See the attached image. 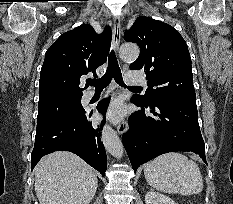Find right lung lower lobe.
I'll list each match as a JSON object with an SVG mask.
<instances>
[{
	"instance_id": "right-lung-lower-lobe-1",
	"label": "right lung lower lobe",
	"mask_w": 233,
	"mask_h": 204,
	"mask_svg": "<svg viewBox=\"0 0 233 204\" xmlns=\"http://www.w3.org/2000/svg\"><path fill=\"white\" fill-rule=\"evenodd\" d=\"M109 103V98L101 100L97 110L103 114ZM92 111L84 109L71 117L62 118L51 125L36 130L35 146L32 151L31 169L46 154L55 151H70L99 171L103 176L107 169V157L101 142V128L93 127L88 119Z\"/></svg>"
}]
</instances>
